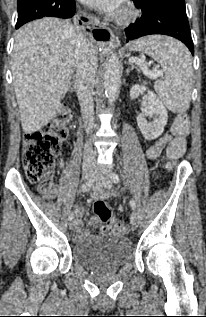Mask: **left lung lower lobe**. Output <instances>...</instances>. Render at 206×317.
Returning a JSON list of instances; mask_svg holds the SVG:
<instances>
[{
	"mask_svg": "<svg viewBox=\"0 0 206 317\" xmlns=\"http://www.w3.org/2000/svg\"><path fill=\"white\" fill-rule=\"evenodd\" d=\"M141 9V18L126 28L127 42L145 35H169L182 41L194 55V46L185 10L166 6Z\"/></svg>",
	"mask_w": 206,
	"mask_h": 317,
	"instance_id": "0a47b994",
	"label": "left lung lower lobe"
}]
</instances>
